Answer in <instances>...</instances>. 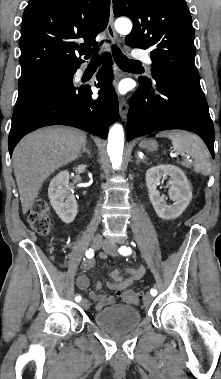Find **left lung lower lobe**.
Listing matches in <instances>:
<instances>
[{"instance_id":"1","label":"left lung lower lobe","mask_w":221,"mask_h":379,"mask_svg":"<svg viewBox=\"0 0 221 379\" xmlns=\"http://www.w3.org/2000/svg\"><path fill=\"white\" fill-rule=\"evenodd\" d=\"M153 81L139 78L130 101L127 139L183 129L198 134L214 156V127L199 79L152 69Z\"/></svg>"}]
</instances>
